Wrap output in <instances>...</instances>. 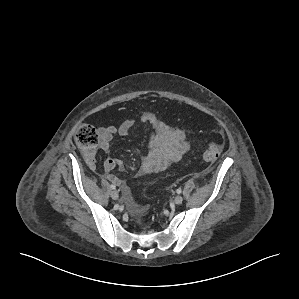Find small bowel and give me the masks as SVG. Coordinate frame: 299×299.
<instances>
[{"label":"small bowel","mask_w":299,"mask_h":299,"mask_svg":"<svg viewBox=\"0 0 299 299\" xmlns=\"http://www.w3.org/2000/svg\"><path fill=\"white\" fill-rule=\"evenodd\" d=\"M142 122L150 126V133L147 144V151L141 159L139 175H149L166 170L174 163L178 162L190 149V142L186 134L179 128L172 127L159 120L155 114L147 112L142 116ZM134 119L127 118L119 126L109 125L98 128L100 148L108 151L115 136L129 135L134 127ZM93 166V163H91ZM117 166H121V161L115 158H108L104 162L105 177L124 188L127 187L124 181L111 174ZM133 212L141 213L145 206L134 205Z\"/></svg>","instance_id":"obj_1"}]
</instances>
